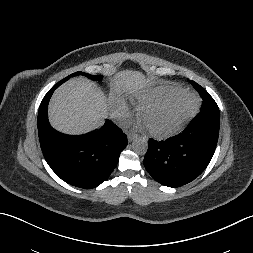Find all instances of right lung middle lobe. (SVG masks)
<instances>
[{
  "instance_id": "obj_1",
  "label": "right lung middle lobe",
  "mask_w": 253,
  "mask_h": 253,
  "mask_svg": "<svg viewBox=\"0 0 253 253\" xmlns=\"http://www.w3.org/2000/svg\"><path fill=\"white\" fill-rule=\"evenodd\" d=\"M77 75H84V76H87L88 78H90L92 80H101L103 78L102 76H95V75H90V74L83 73V72H76V73H73V74L67 76L65 79L61 80L56 85L59 86L62 83H64L65 81H67L70 77L77 76Z\"/></svg>"
}]
</instances>
